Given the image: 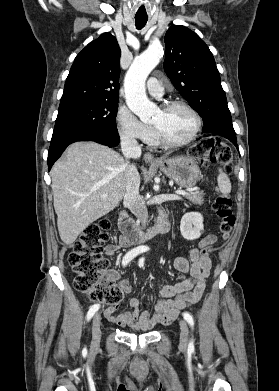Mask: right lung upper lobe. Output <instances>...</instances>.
Masks as SVG:
<instances>
[{"label":"right lung upper lobe","mask_w":279,"mask_h":391,"mask_svg":"<svg viewBox=\"0 0 279 391\" xmlns=\"http://www.w3.org/2000/svg\"><path fill=\"white\" fill-rule=\"evenodd\" d=\"M121 50L110 33L89 43L75 58L59 109L92 101H118Z\"/></svg>","instance_id":"right-lung-upper-lobe-1"}]
</instances>
